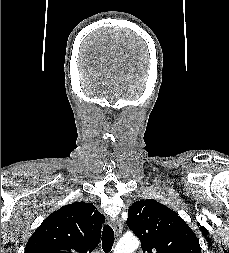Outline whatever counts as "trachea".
I'll return each mask as SVG.
<instances>
[{
  "label": "trachea",
  "instance_id": "1",
  "mask_svg": "<svg viewBox=\"0 0 229 253\" xmlns=\"http://www.w3.org/2000/svg\"><path fill=\"white\" fill-rule=\"evenodd\" d=\"M114 243V231L110 225H105L102 232V248L105 253L112 250Z\"/></svg>",
  "mask_w": 229,
  "mask_h": 253
}]
</instances>
